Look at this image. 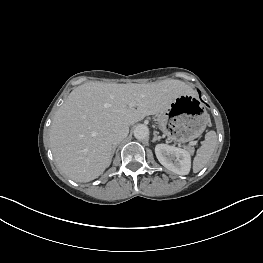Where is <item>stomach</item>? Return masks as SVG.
I'll return each mask as SVG.
<instances>
[{"mask_svg": "<svg viewBox=\"0 0 263 263\" xmlns=\"http://www.w3.org/2000/svg\"><path fill=\"white\" fill-rule=\"evenodd\" d=\"M209 115L200 102L190 94L177 97L158 116V124L163 133L174 140L190 141L205 130Z\"/></svg>", "mask_w": 263, "mask_h": 263, "instance_id": "1", "label": "stomach"}]
</instances>
